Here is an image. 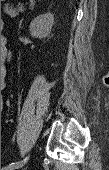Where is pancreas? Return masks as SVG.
<instances>
[{
  "mask_svg": "<svg viewBox=\"0 0 109 170\" xmlns=\"http://www.w3.org/2000/svg\"><path fill=\"white\" fill-rule=\"evenodd\" d=\"M23 11V7L22 6H18L16 8H13V7H5L4 8V13L6 15H9L10 17H15L17 16L20 12Z\"/></svg>",
  "mask_w": 109,
  "mask_h": 170,
  "instance_id": "pancreas-1",
  "label": "pancreas"
}]
</instances>
